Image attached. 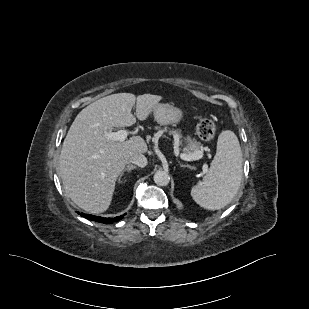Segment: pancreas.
Returning <instances> with one entry per match:
<instances>
[{
    "label": "pancreas",
    "instance_id": "obj_1",
    "mask_svg": "<svg viewBox=\"0 0 309 309\" xmlns=\"http://www.w3.org/2000/svg\"><path fill=\"white\" fill-rule=\"evenodd\" d=\"M163 131L166 132L167 128H164ZM170 133L177 137V141L179 145L182 146L184 143V147L182 149L184 154H193L196 151H202L204 149L203 146L199 142H197L195 139H192L190 136L182 140L180 129L171 130Z\"/></svg>",
    "mask_w": 309,
    "mask_h": 309
}]
</instances>
